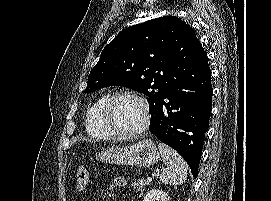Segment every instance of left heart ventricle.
<instances>
[{"instance_id":"obj_1","label":"left heart ventricle","mask_w":271,"mask_h":201,"mask_svg":"<svg viewBox=\"0 0 271 201\" xmlns=\"http://www.w3.org/2000/svg\"><path fill=\"white\" fill-rule=\"evenodd\" d=\"M114 124L123 131H133L140 127L144 120L141 104L134 98L122 96L117 98L111 108Z\"/></svg>"}]
</instances>
